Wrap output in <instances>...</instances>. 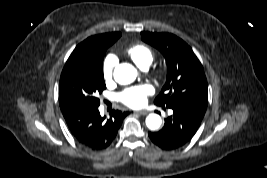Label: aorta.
I'll return each mask as SVG.
<instances>
[{"label":"aorta","instance_id":"1","mask_svg":"<svg viewBox=\"0 0 267 178\" xmlns=\"http://www.w3.org/2000/svg\"><path fill=\"white\" fill-rule=\"evenodd\" d=\"M137 77V70L129 63H122L115 67L114 79L117 83L127 85L132 83ZM162 123V119L158 114L151 113L146 118V126L150 130H157Z\"/></svg>","mask_w":267,"mask_h":178}]
</instances>
